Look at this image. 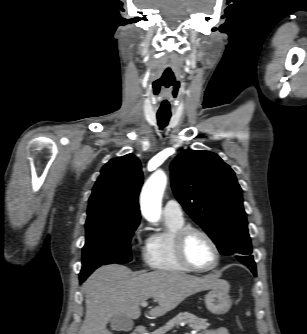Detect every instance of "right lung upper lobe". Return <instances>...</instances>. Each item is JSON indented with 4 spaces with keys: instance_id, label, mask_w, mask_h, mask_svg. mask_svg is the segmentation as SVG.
<instances>
[{
    "instance_id": "right-lung-upper-lobe-1",
    "label": "right lung upper lobe",
    "mask_w": 307,
    "mask_h": 334,
    "mask_svg": "<svg viewBox=\"0 0 307 334\" xmlns=\"http://www.w3.org/2000/svg\"><path fill=\"white\" fill-rule=\"evenodd\" d=\"M143 183L141 165L134 155L111 159L101 169L89 198L87 221L140 222L138 195Z\"/></svg>"
}]
</instances>
